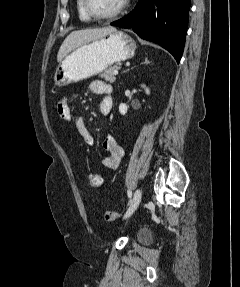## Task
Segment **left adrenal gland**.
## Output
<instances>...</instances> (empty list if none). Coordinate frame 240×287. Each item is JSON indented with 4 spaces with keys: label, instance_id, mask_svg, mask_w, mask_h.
<instances>
[{
    "label": "left adrenal gland",
    "instance_id": "obj_1",
    "mask_svg": "<svg viewBox=\"0 0 240 287\" xmlns=\"http://www.w3.org/2000/svg\"><path fill=\"white\" fill-rule=\"evenodd\" d=\"M149 63L150 61L147 58H145L143 64H149Z\"/></svg>",
    "mask_w": 240,
    "mask_h": 287
}]
</instances>
